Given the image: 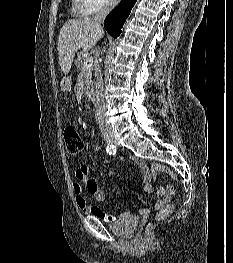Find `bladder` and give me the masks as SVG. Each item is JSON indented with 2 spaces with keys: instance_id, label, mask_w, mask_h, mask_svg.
Wrapping results in <instances>:
<instances>
[{
  "instance_id": "31cf9c89",
  "label": "bladder",
  "mask_w": 233,
  "mask_h": 263,
  "mask_svg": "<svg viewBox=\"0 0 233 263\" xmlns=\"http://www.w3.org/2000/svg\"><path fill=\"white\" fill-rule=\"evenodd\" d=\"M139 218L135 215H124L109 224L110 231L119 237L131 236L138 225Z\"/></svg>"
}]
</instances>
